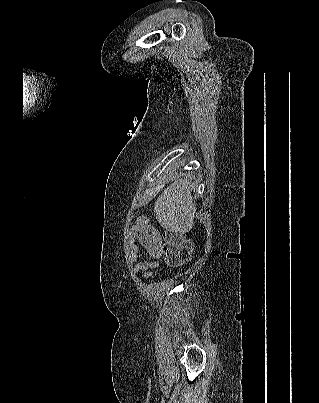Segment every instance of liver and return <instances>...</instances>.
Returning <instances> with one entry per match:
<instances>
[{"label": "liver", "instance_id": "liver-1", "mask_svg": "<svg viewBox=\"0 0 319 403\" xmlns=\"http://www.w3.org/2000/svg\"><path fill=\"white\" fill-rule=\"evenodd\" d=\"M191 182L179 179L157 198L154 213L160 225L175 233L189 232L194 225L196 203L191 195Z\"/></svg>", "mask_w": 319, "mask_h": 403}]
</instances>
